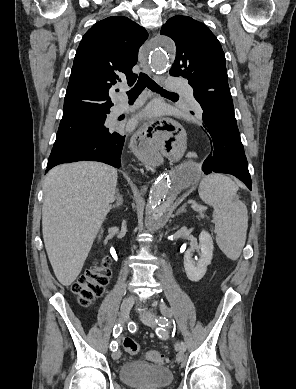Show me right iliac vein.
I'll list each match as a JSON object with an SVG mask.
<instances>
[{
  "label": "right iliac vein",
  "mask_w": 296,
  "mask_h": 389,
  "mask_svg": "<svg viewBox=\"0 0 296 389\" xmlns=\"http://www.w3.org/2000/svg\"><path fill=\"white\" fill-rule=\"evenodd\" d=\"M135 298L133 296H128L123 299L121 304V310H120V318L123 322H126L129 318V313L134 305ZM121 356V352L119 350H116L112 353V358L114 360H118Z\"/></svg>",
  "instance_id": "right-iliac-vein-1"
}]
</instances>
